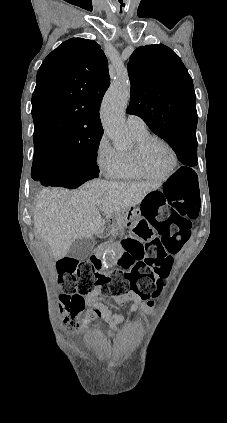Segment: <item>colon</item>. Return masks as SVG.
<instances>
[{"mask_svg":"<svg viewBox=\"0 0 227 423\" xmlns=\"http://www.w3.org/2000/svg\"><path fill=\"white\" fill-rule=\"evenodd\" d=\"M199 209L200 192L195 173L178 170L161 188L147 195L143 215L148 224L137 222L133 236L121 240L116 268L110 276L98 271L101 261L97 257L82 261L63 259L58 271L67 330L72 329L73 319L84 308L83 297L97 287L114 297L129 293L143 301L157 297L171 270V255L188 241ZM154 230L159 237L153 236Z\"/></svg>","mask_w":227,"mask_h":423,"instance_id":"1","label":"colon"}]
</instances>
